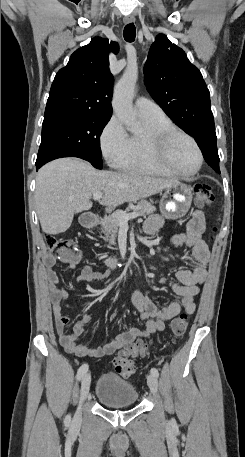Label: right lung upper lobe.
Instances as JSON below:
<instances>
[{
    "label": "right lung upper lobe",
    "mask_w": 245,
    "mask_h": 457,
    "mask_svg": "<svg viewBox=\"0 0 245 457\" xmlns=\"http://www.w3.org/2000/svg\"><path fill=\"white\" fill-rule=\"evenodd\" d=\"M117 53L116 42L93 38L76 50L66 67L60 69L51 86L45 113L91 111L112 115L113 76L109 51Z\"/></svg>",
    "instance_id": "obj_1"
}]
</instances>
